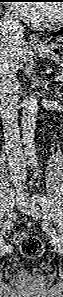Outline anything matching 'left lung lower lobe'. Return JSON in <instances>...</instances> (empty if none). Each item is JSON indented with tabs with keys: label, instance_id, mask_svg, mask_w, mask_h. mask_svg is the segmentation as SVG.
<instances>
[{
	"label": "left lung lower lobe",
	"instance_id": "1",
	"mask_svg": "<svg viewBox=\"0 0 63 297\" xmlns=\"http://www.w3.org/2000/svg\"><path fill=\"white\" fill-rule=\"evenodd\" d=\"M59 35H63V29L58 32L52 33V36H59Z\"/></svg>",
	"mask_w": 63,
	"mask_h": 297
}]
</instances>
